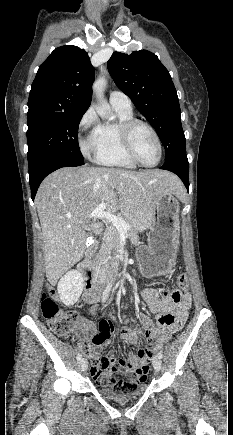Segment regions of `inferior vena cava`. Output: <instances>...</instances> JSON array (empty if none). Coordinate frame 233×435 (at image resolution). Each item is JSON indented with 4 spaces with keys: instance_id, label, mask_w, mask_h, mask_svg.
<instances>
[{
    "instance_id": "inferior-vena-cava-1",
    "label": "inferior vena cava",
    "mask_w": 233,
    "mask_h": 435,
    "mask_svg": "<svg viewBox=\"0 0 233 435\" xmlns=\"http://www.w3.org/2000/svg\"><path fill=\"white\" fill-rule=\"evenodd\" d=\"M99 280H100L101 282H103V281L105 280V273H104L103 270H102V272L99 273Z\"/></svg>"
}]
</instances>
